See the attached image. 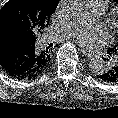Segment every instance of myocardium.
<instances>
[{"label":"myocardium","mask_w":118,"mask_h":118,"mask_svg":"<svg viewBox=\"0 0 118 118\" xmlns=\"http://www.w3.org/2000/svg\"><path fill=\"white\" fill-rule=\"evenodd\" d=\"M115 28H116V31L118 32V26H115Z\"/></svg>","instance_id":"f54148a6"}]
</instances>
